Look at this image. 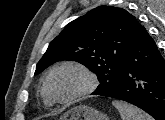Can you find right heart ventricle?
I'll use <instances>...</instances> for the list:
<instances>
[{
  "mask_svg": "<svg viewBox=\"0 0 165 120\" xmlns=\"http://www.w3.org/2000/svg\"><path fill=\"white\" fill-rule=\"evenodd\" d=\"M42 97H43V100L46 104L50 105L52 103V101L49 99V97L45 93L44 87H42Z\"/></svg>",
  "mask_w": 165,
  "mask_h": 120,
  "instance_id": "1",
  "label": "right heart ventricle"
}]
</instances>
